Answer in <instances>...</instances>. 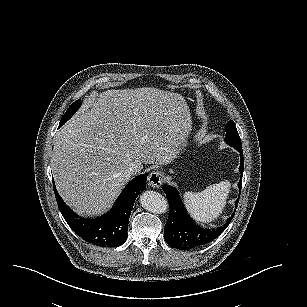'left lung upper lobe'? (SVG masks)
Returning a JSON list of instances; mask_svg holds the SVG:
<instances>
[{"label":"left lung upper lobe","mask_w":307,"mask_h":307,"mask_svg":"<svg viewBox=\"0 0 307 307\" xmlns=\"http://www.w3.org/2000/svg\"><path fill=\"white\" fill-rule=\"evenodd\" d=\"M225 131H226L225 141L237 150L242 149V144L237 128L232 120H230V122L226 125Z\"/></svg>","instance_id":"5c2ea615"}]
</instances>
